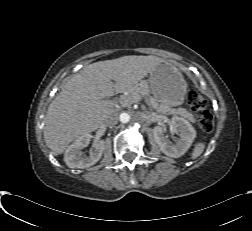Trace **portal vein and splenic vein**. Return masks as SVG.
Instances as JSON below:
<instances>
[{
    "instance_id": "obj_1",
    "label": "portal vein and splenic vein",
    "mask_w": 252,
    "mask_h": 231,
    "mask_svg": "<svg viewBox=\"0 0 252 231\" xmlns=\"http://www.w3.org/2000/svg\"><path fill=\"white\" fill-rule=\"evenodd\" d=\"M103 103H111L110 100H103Z\"/></svg>"
}]
</instances>
